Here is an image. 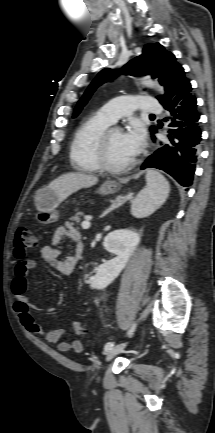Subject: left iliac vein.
Listing matches in <instances>:
<instances>
[{
	"mask_svg": "<svg viewBox=\"0 0 215 433\" xmlns=\"http://www.w3.org/2000/svg\"><path fill=\"white\" fill-rule=\"evenodd\" d=\"M127 346V343H121L118 344L116 346H114L113 348H111L106 355V360L110 361L112 360L115 356H117L118 354H120L124 348Z\"/></svg>",
	"mask_w": 215,
	"mask_h": 433,
	"instance_id": "left-iliac-vein-1",
	"label": "left iliac vein"
}]
</instances>
